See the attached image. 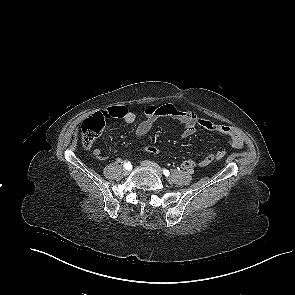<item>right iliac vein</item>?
<instances>
[{
    "label": "right iliac vein",
    "mask_w": 295,
    "mask_h": 295,
    "mask_svg": "<svg viewBox=\"0 0 295 295\" xmlns=\"http://www.w3.org/2000/svg\"><path fill=\"white\" fill-rule=\"evenodd\" d=\"M129 173H130V171H129V170H126V169H125V170L123 171V174H124V176H128V175H129Z\"/></svg>",
    "instance_id": "right-iliac-vein-1"
}]
</instances>
